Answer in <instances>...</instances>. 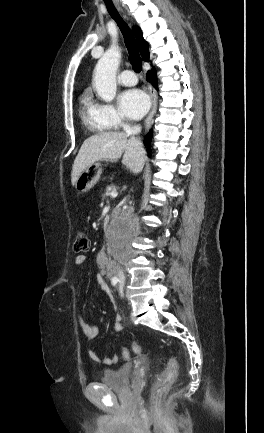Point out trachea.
Segmentation results:
<instances>
[{
    "mask_svg": "<svg viewBox=\"0 0 264 433\" xmlns=\"http://www.w3.org/2000/svg\"><path fill=\"white\" fill-rule=\"evenodd\" d=\"M103 1L106 5V8L110 16L116 21L118 27L120 28L123 34L133 69L136 72H140L142 69V61L132 31L127 26V24L122 19V17L119 15L112 1L111 0H103Z\"/></svg>",
    "mask_w": 264,
    "mask_h": 433,
    "instance_id": "trachea-1",
    "label": "trachea"
}]
</instances>
